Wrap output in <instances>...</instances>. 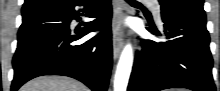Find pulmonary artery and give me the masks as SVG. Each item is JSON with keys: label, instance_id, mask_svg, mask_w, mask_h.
Returning a JSON list of instances; mask_svg holds the SVG:
<instances>
[{"label": "pulmonary artery", "instance_id": "pulmonary-artery-1", "mask_svg": "<svg viewBox=\"0 0 220 91\" xmlns=\"http://www.w3.org/2000/svg\"><path fill=\"white\" fill-rule=\"evenodd\" d=\"M151 6H152V11H153V14L155 15V17L160 21V8H159V5H158V1H155V0H152V1H148Z\"/></svg>", "mask_w": 220, "mask_h": 91}]
</instances>
